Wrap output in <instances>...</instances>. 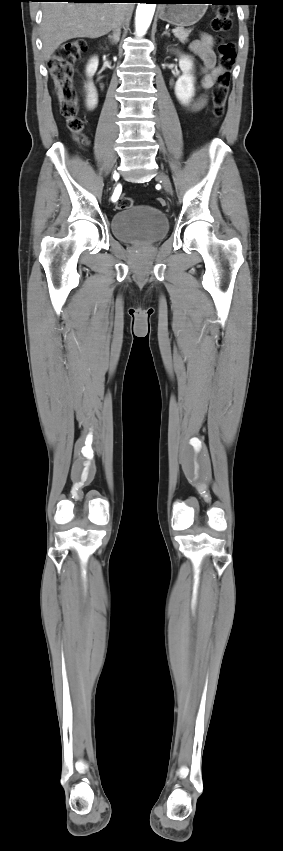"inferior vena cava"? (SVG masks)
Returning a JSON list of instances; mask_svg holds the SVG:
<instances>
[{
	"label": "inferior vena cava",
	"instance_id": "1",
	"mask_svg": "<svg viewBox=\"0 0 283 851\" xmlns=\"http://www.w3.org/2000/svg\"><path fill=\"white\" fill-rule=\"evenodd\" d=\"M123 4H124V3H123ZM125 11H126V10H125V8H124V10H122V11H121V12L117 15V17H116V19H115V22H114V24H113V32H114V34H113V35H115V36H117V35H118V33H119V32H120V30H121V26H122V24H123V23H124V21H125V14H126V12H125Z\"/></svg>",
	"mask_w": 283,
	"mask_h": 851
}]
</instances>
